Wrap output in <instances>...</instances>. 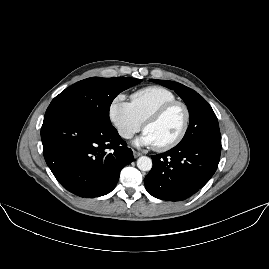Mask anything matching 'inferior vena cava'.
<instances>
[{"label":"inferior vena cava","mask_w":269,"mask_h":269,"mask_svg":"<svg viewBox=\"0 0 269 269\" xmlns=\"http://www.w3.org/2000/svg\"><path fill=\"white\" fill-rule=\"evenodd\" d=\"M132 136H133V133L131 132L128 135H124L123 137H125V138H131Z\"/></svg>","instance_id":"inferior-vena-cava-1"}]
</instances>
